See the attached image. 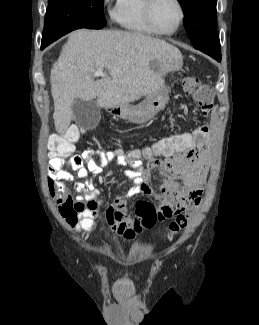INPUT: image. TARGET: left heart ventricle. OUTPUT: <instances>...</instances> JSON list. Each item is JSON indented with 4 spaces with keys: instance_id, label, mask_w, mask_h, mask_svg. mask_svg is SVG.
<instances>
[{
    "instance_id": "1",
    "label": "left heart ventricle",
    "mask_w": 259,
    "mask_h": 325,
    "mask_svg": "<svg viewBox=\"0 0 259 325\" xmlns=\"http://www.w3.org/2000/svg\"><path fill=\"white\" fill-rule=\"evenodd\" d=\"M179 17V8L174 0H156L153 7V19L161 31L173 30Z\"/></svg>"
}]
</instances>
